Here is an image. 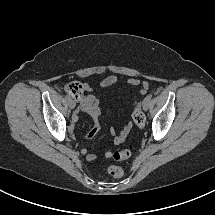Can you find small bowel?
Wrapping results in <instances>:
<instances>
[{
  "instance_id": "small-bowel-1",
  "label": "small bowel",
  "mask_w": 215,
  "mask_h": 215,
  "mask_svg": "<svg viewBox=\"0 0 215 215\" xmlns=\"http://www.w3.org/2000/svg\"><path fill=\"white\" fill-rule=\"evenodd\" d=\"M117 83V78L115 76L105 77L101 82L100 86L103 88H108ZM127 84L129 86H138L140 84V80L137 78H129L127 80ZM83 92L86 94H81L80 97L77 98L78 101V110L88 113L94 121V125L92 129L85 135V138L89 141H93L97 137V133L100 127V118H101V103L100 100L90 92L92 91V87L88 83H83ZM143 90L146 92L149 89V84L147 81H143L142 83ZM79 119L78 111L73 115L72 121L73 124L77 122ZM71 126V131H74V125ZM131 130V123H127L123 129L114 137V143L120 144L123 142ZM111 134H114L111 131ZM83 153H86V150H82ZM96 156L94 154H87V159L89 161L95 160Z\"/></svg>"
}]
</instances>
